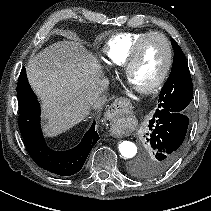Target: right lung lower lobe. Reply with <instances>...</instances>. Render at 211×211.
Returning a JSON list of instances; mask_svg holds the SVG:
<instances>
[{"mask_svg": "<svg viewBox=\"0 0 211 211\" xmlns=\"http://www.w3.org/2000/svg\"><path fill=\"white\" fill-rule=\"evenodd\" d=\"M17 98L20 132L34 162L41 168L60 176L77 173L84 165L92 147L99 140L95 123L78 146L68 151L57 152L50 149L43 138L40 126V106L29 86L25 68H22L18 78Z\"/></svg>", "mask_w": 211, "mask_h": 211, "instance_id": "obj_1", "label": "right lung lower lobe"}]
</instances>
